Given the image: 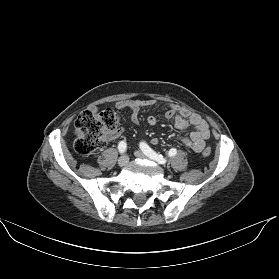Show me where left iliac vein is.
<instances>
[{
  "label": "left iliac vein",
  "mask_w": 279,
  "mask_h": 279,
  "mask_svg": "<svg viewBox=\"0 0 279 279\" xmlns=\"http://www.w3.org/2000/svg\"><path fill=\"white\" fill-rule=\"evenodd\" d=\"M134 155L138 158H141V159H146L147 158V156L144 153H142L141 151H135Z\"/></svg>",
  "instance_id": "obj_1"
}]
</instances>
